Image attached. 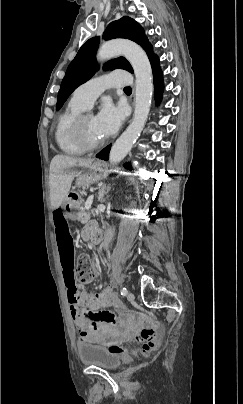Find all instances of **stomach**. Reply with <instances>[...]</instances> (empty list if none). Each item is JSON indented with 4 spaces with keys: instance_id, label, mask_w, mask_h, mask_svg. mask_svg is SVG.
Instances as JSON below:
<instances>
[{
    "instance_id": "stomach-1",
    "label": "stomach",
    "mask_w": 243,
    "mask_h": 404,
    "mask_svg": "<svg viewBox=\"0 0 243 404\" xmlns=\"http://www.w3.org/2000/svg\"><path fill=\"white\" fill-rule=\"evenodd\" d=\"M107 172V165L103 161L96 160L87 167V170L77 172L76 182L84 188L104 178ZM78 206V202L69 198H66L63 202V208L67 211L70 218L75 217L73 210L77 209Z\"/></svg>"
}]
</instances>
